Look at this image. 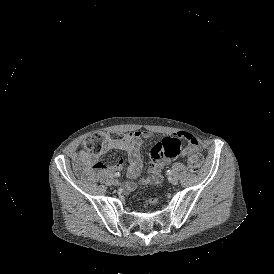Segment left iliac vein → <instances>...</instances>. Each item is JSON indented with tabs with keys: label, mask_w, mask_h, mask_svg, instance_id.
<instances>
[{
	"label": "left iliac vein",
	"mask_w": 274,
	"mask_h": 274,
	"mask_svg": "<svg viewBox=\"0 0 274 274\" xmlns=\"http://www.w3.org/2000/svg\"><path fill=\"white\" fill-rule=\"evenodd\" d=\"M171 184L174 185V186L177 185L178 184V178L177 177H172Z\"/></svg>",
	"instance_id": "4c4485c4"
}]
</instances>
